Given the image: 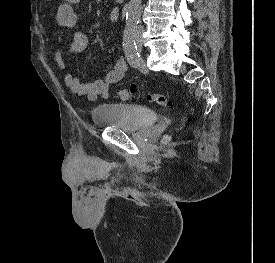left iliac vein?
I'll list each match as a JSON object with an SVG mask.
<instances>
[{
	"mask_svg": "<svg viewBox=\"0 0 275 263\" xmlns=\"http://www.w3.org/2000/svg\"><path fill=\"white\" fill-rule=\"evenodd\" d=\"M138 46H139V48L141 49V47H142V43L140 42V43H138Z\"/></svg>",
	"mask_w": 275,
	"mask_h": 263,
	"instance_id": "obj_1",
	"label": "left iliac vein"
}]
</instances>
